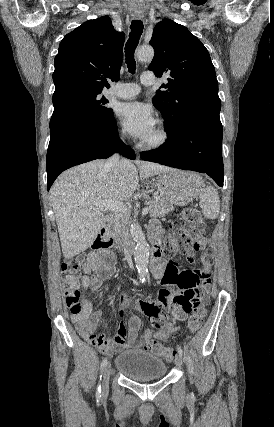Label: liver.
<instances>
[{
	"instance_id": "obj_1",
	"label": "liver",
	"mask_w": 274,
	"mask_h": 427,
	"mask_svg": "<svg viewBox=\"0 0 274 427\" xmlns=\"http://www.w3.org/2000/svg\"><path fill=\"white\" fill-rule=\"evenodd\" d=\"M104 160H94L63 172L51 190L64 257H73L92 245L104 221L98 202H124L133 196L139 180L172 168L142 162L138 170L130 160H120L119 170L104 168Z\"/></svg>"
}]
</instances>
